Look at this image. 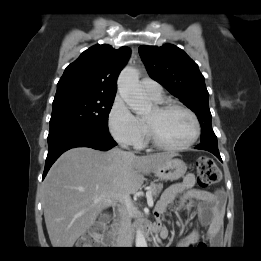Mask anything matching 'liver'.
<instances>
[{"mask_svg": "<svg viewBox=\"0 0 261 261\" xmlns=\"http://www.w3.org/2000/svg\"><path fill=\"white\" fill-rule=\"evenodd\" d=\"M170 157L174 154L135 156L120 149L100 152L87 147L63 153L42 185L44 218L52 246L72 248L104 209L135 194L144 175ZM102 195L106 197L95 201Z\"/></svg>", "mask_w": 261, "mask_h": 261, "instance_id": "liver-1", "label": "liver"}]
</instances>
